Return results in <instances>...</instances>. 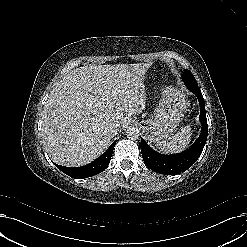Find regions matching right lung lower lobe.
I'll use <instances>...</instances> for the list:
<instances>
[{
    "label": "right lung lower lobe",
    "mask_w": 247,
    "mask_h": 247,
    "mask_svg": "<svg viewBox=\"0 0 247 247\" xmlns=\"http://www.w3.org/2000/svg\"><path fill=\"white\" fill-rule=\"evenodd\" d=\"M115 143L116 142L111 144L103 155H101L99 158L85 166L71 168L57 164L56 165L59 170H61L63 173L69 175L72 178L82 179L94 176L96 174L101 173L109 165Z\"/></svg>",
    "instance_id": "obj_1"
}]
</instances>
